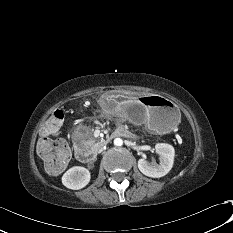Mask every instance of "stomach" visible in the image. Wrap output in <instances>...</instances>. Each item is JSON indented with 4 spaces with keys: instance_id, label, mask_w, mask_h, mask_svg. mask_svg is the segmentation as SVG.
<instances>
[{
    "instance_id": "stomach-1",
    "label": "stomach",
    "mask_w": 233,
    "mask_h": 233,
    "mask_svg": "<svg viewBox=\"0 0 233 233\" xmlns=\"http://www.w3.org/2000/svg\"><path fill=\"white\" fill-rule=\"evenodd\" d=\"M103 106L131 123L145 125L158 134L170 132L180 120L178 106L160 95L141 98L107 97L103 101Z\"/></svg>"
}]
</instances>
